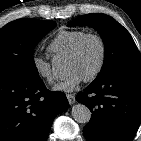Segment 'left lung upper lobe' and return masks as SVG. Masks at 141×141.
<instances>
[{
  "label": "left lung upper lobe",
  "mask_w": 141,
  "mask_h": 141,
  "mask_svg": "<svg viewBox=\"0 0 141 141\" xmlns=\"http://www.w3.org/2000/svg\"><path fill=\"white\" fill-rule=\"evenodd\" d=\"M91 26L103 39L105 58L99 75L93 82L106 80L123 73L141 74V54L129 32L105 14H86L68 26Z\"/></svg>",
  "instance_id": "obj_1"
}]
</instances>
